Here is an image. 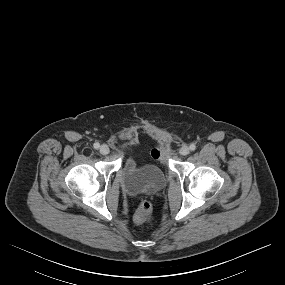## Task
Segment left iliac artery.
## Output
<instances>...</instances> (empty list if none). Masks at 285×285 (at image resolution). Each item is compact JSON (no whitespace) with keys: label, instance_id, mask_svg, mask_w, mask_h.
<instances>
[{"label":"left iliac artery","instance_id":"1","mask_svg":"<svg viewBox=\"0 0 285 285\" xmlns=\"http://www.w3.org/2000/svg\"><path fill=\"white\" fill-rule=\"evenodd\" d=\"M189 148H190L191 151H194L196 149V145L195 144H191L189 146Z\"/></svg>","mask_w":285,"mask_h":285}]
</instances>
